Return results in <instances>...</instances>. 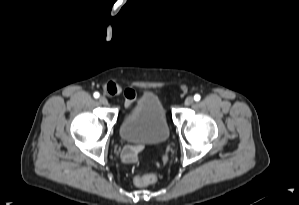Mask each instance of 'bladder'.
Segmentation results:
<instances>
[{
  "instance_id": "bladder-1",
  "label": "bladder",
  "mask_w": 299,
  "mask_h": 205,
  "mask_svg": "<svg viewBox=\"0 0 299 205\" xmlns=\"http://www.w3.org/2000/svg\"><path fill=\"white\" fill-rule=\"evenodd\" d=\"M170 133L164 106L152 92L140 95L119 126V136L123 141L144 145L164 143Z\"/></svg>"
}]
</instances>
